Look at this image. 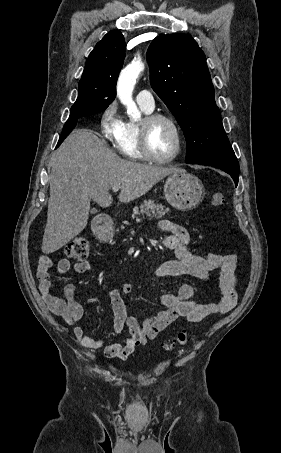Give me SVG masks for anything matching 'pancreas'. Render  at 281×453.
Here are the masks:
<instances>
[{
  "mask_svg": "<svg viewBox=\"0 0 281 453\" xmlns=\"http://www.w3.org/2000/svg\"><path fill=\"white\" fill-rule=\"evenodd\" d=\"M169 208H165L164 204H156L154 200H143V204L135 206L133 208V216L135 214H146L148 218H161ZM125 224H128L127 220H123Z\"/></svg>",
  "mask_w": 281,
  "mask_h": 453,
  "instance_id": "cf45deb5",
  "label": "pancreas"
}]
</instances>
